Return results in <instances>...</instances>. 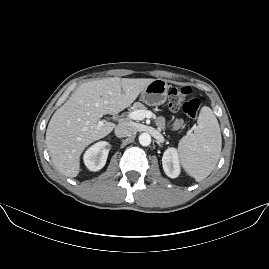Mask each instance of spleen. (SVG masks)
I'll return each instance as SVG.
<instances>
[{
    "label": "spleen",
    "mask_w": 269,
    "mask_h": 269,
    "mask_svg": "<svg viewBox=\"0 0 269 269\" xmlns=\"http://www.w3.org/2000/svg\"><path fill=\"white\" fill-rule=\"evenodd\" d=\"M193 134L184 136L178 144L182 167L197 182L207 178L220 157L222 137L218 120L208 106H203Z\"/></svg>",
    "instance_id": "3e777b00"
}]
</instances>
